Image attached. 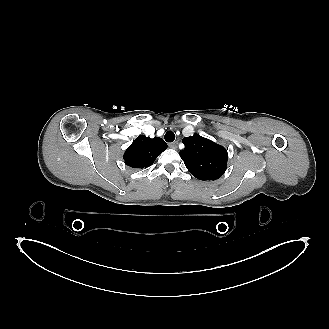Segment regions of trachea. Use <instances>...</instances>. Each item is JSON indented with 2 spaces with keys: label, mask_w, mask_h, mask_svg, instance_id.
Masks as SVG:
<instances>
[{
  "label": "trachea",
  "mask_w": 329,
  "mask_h": 329,
  "mask_svg": "<svg viewBox=\"0 0 329 329\" xmlns=\"http://www.w3.org/2000/svg\"><path fill=\"white\" fill-rule=\"evenodd\" d=\"M164 138L167 142H173L175 140V134L172 131H168V132H166Z\"/></svg>",
  "instance_id": "obj_1"
}]
</instances>
